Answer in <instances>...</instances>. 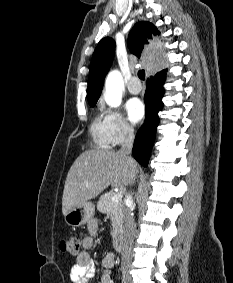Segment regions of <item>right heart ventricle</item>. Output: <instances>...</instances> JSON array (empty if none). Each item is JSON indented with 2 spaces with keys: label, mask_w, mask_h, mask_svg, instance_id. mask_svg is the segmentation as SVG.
Returning <instances> with one entry per match:
<instances>
[{
  "label": "right heart ventricle",
  "mask_w": 233,
  "mask_h": 283,
  "mask_svg": "<svg viewBox=\"0 0 233 283\" xmlns=\"http://www.w3.org/2000/svg\"><path fill=\"white\" fill-rule=\"evenodd\" d=\"M89 132L96 147L101 149H110L112 147L113 142L110 137L106 116L102 114L96 115L90 125Z\"/></svg>",
  "instance_id": "obj_1"
}]
</instances>
